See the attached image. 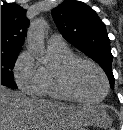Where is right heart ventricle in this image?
Segmentation results:
<instances>
[{
    "label": "right heart ventricle",
    "instance_id": "right-heart-ventricle-1",
    "mask_svg": "<svg viewBox=\"0 0 123 130\" xmlns=\"http://www.w3.org/2000/svg\"><path fill=\"white\" fill-rule=\"evenodd\" d=\"M49 49L57 58L58 63L75 56L68 47L64 49L49 47ZM38 95L54 100L71 101V99L60 89L58 85L55 68L50 67H42V83Z\"/></svg>",
    "mask_w": 123,
    "mask_h": 130
}]
</instances>
